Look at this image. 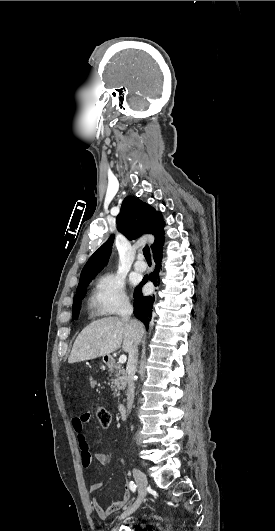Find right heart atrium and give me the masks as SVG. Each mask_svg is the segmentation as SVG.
<instances>
[{
	"mask_svg": "<svg viewBox=\"0 0 275 531\" xmlns=\"http://www.w3.org/2000/svg\"><path fill=\"white\" fill-rule=\"evenodd\" d=\"M92 309L99 315L115 314L128 304L124 279L118 273L99 276L90 299Z\"/></svg>",
	"mask_w": 275,
	"mask_h": 531,
	"instance_id": "obj_1",
	"label": "right heart atrium"
}]
</instances>
